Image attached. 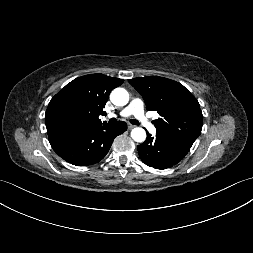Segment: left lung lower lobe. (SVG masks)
I'll return each instance as SVG.
<instances>
[{
  "mask_svg": "<svg viewBox=\"0 0 253 253\" xmlns=\"http://www.w3.org/2000/svg\"><path fill=\"white\" fill-rule=\"evenodd\" d=\"M193 142L156 133H147L144 143L137 146L141 160L156 169H166L176 165L189 152Z\"/></svg>",
  "mask_w": 253,
  "mask_h": 253,
  "instance_id": "1",
  "label": "left lung lower lobe"
}]
</instances>
